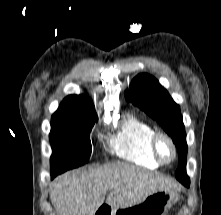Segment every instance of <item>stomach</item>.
<instances>
[{
	"label": "stomach",
	"instance_id": "1",
	"mask_svg": "<svg viewBox=\"0 0 221 215\" xmlns=\"http://www.w3.org/2000/svg\"><path fill=\"white\" fill-rule=\"evenodd\" d=\"M178 199L177 190H157L136 205L114 210L112 215H166Z\"/></svg>",
	"mask_w": 221,
	"mask_h": 215
}]
</instances>
